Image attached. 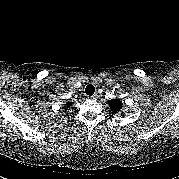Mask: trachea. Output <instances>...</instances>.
Wrapping results in <instances>:
<instances>
[{
  "mask_svg": "<svg viewBox=\"0 0 179 179\" xmlns=\"http://www.w3.org/2000/svg\"><path fill=\"white\" fill-rule=\"evenodd\" d=\"M94 92H95V88L92 84H89V85L86 86L85 93L87 95L92 96L94 94Z\"/></svg>",
  "mask_w": 179,
  "mask_h": 179,
  "instance_id": "obj_1",
  "label": "trachea"
}]
</instances>
